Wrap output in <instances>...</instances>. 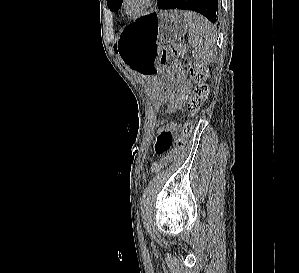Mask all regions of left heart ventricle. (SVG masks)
I'll use <instances>...</instances> for the list:
<instances>
[{
    "mask_svg": "<svg viewBox=\"0 0 299 273\" xmlns=\"http://www.w3.org/2000/svg\"><path fill=\"white\" fill-rule=\"evenodd\" d=\"M141 3V0H129L127 7L130 10L136 9Z\"/></svg>",
    "mask_w": 299,
    "mask_h": 273,
    "instance_id": "obj_1",
    "label": "left heart ventricle"
}]
</instances>
